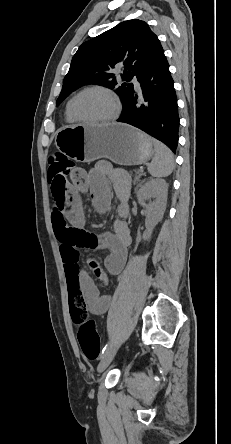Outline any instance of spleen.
Returning <instances> with one entry per match:
<instances>
[{"label":"spleen","mask_w":231,"mask_h":444,"mask_svg":"<svg viewBox=\"0 0 231 444\" xmlns=\"http://www.w3.org/2000/svg\"><path fill=\"white\" fill-rule=\"evenodd\" d=\"M154 146V157L148 165V172L153 177H167L174 169V156L171 150L162 142L152 140Z\"/></svg>","instance_id":"spleen-1"}]
</instances>
